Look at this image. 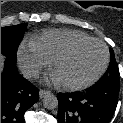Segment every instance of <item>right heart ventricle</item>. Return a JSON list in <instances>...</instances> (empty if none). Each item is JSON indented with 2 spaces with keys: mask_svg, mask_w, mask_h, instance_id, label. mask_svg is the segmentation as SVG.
I'll list each match as a JSON object with an SVG mask.
<instances>
[{
  "mask_svg": "<svg viewBox=\"0 0 123 123\" xmlns=\"http://www.w3.org/2000/svg\"><path fill=\"white\" fill-rule=\"evenodd\" d=\"M89 38L92 37L74 29H50L32 38L29 45L52 61L69 45Z\"/></svg>",
  "mask_w": 123,
  "mask_h": 123,
  "instance_id": "obj_1",
  "label": "right heart ventricle"
}]
</instances>
